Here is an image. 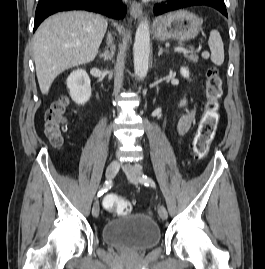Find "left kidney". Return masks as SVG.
<instances>
[{
    "label": "left kidney",
    "mask_w": 265,
    "mask_h": 269,
    "mask_svg": "<svg viewBox=\"0 0 265 269\" xmlns=\"http://www.w3.org/2000/svg\"><path fill=\"white\" fill-rule=\"evenodd\" d=\"M180 73L184 78H189V70L186 67H181L180 69ZM186 105V99H183L180 102V107L185 106Z\"/></svg>",
    "instance_id": "left-kidney-1"
}]
</instances>
